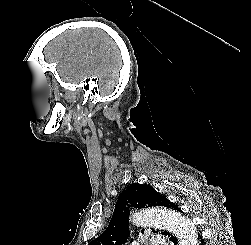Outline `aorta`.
Returning a JSON list of instances; mask_svg holds the SVG:
<instances>
[{
	"label": "aorta",
	"mask_w": 251,
	"mask_h": 245,
	"mask_svg": "<svg viewBox=\"0 0 251 245\" xmlns=\"http://www.w3.org/2000/svg\"><path fill=\"white\" fill-rule=\"evenodd\" d=\"M132 222L136 226H153L172 232L179 241V245H197L198 234L194 224L180 213L163 209L147 208L135 212Z\"/></svg>",
	"instance_id": "762f6f07"
}]
</instances>
